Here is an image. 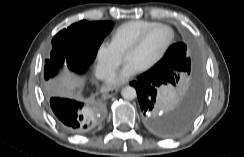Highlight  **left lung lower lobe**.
I'll list each match as a JSON object with an SVG mask.
<instances>
[{
    "label": "left lung lower lobe",
    "instance_id": "obj_1",
    "mask_svg": "<svg viewBox=\"0 0 244 157\" xmlns=\"http://www.w3.org/2000/svg\"><path fill=\"white\" fill-rule=\"evenodd\" d=\"M131 85L137 91L146 128L158 136L175 137L184 133L199 113L204 87L201 75L193 88L174 105H163V90L170 82L159 73L148 70Z\"/></svg>",
    "mask_w": 244,
    "mask_h": 157
}]
</instances>
